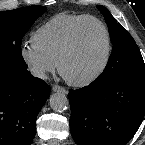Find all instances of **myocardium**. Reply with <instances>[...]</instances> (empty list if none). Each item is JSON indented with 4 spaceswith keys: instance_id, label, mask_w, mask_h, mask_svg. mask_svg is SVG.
<instances>
[{
    "instance_id": "obj_1",
    "label": "myocardium",
    "mask_w": 145,
    "mask_h": 145,
    "mask_svg": "<svg viewBox=\"0 0 145 145\" xmlns=\"http://www.w3.org/2000/svg\"><path fill=\"white\" fill-rule=\"evenodd\" d=\"M87 21L96 22L103 29L104 34H105V39H106L105 56H104L102 63L100 64V66L87 77L78 79V80L69 79L63 73V70H62L63 64L69 58V56L73 53V51L77 45L79 30H80L81 26ZM111 55H112V39H111V34H110V31H109L107 25L101 19H99L95 16L86 15V16L82 17L72 28L68 42L57 60V69H58L59 74L63 77V79L68 84L75 86V87H85V86L90 85L94 81H96L105 72L106 68L109 65Z\"/></svg>"
}]
</instances>
